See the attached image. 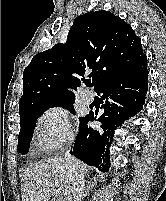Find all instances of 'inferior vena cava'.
Here are the masks:
<instances>
[{
  "instance_id": "obj_1",
  "label": "inferior vena cava",
  "mask_w": 166,
  "mask_h": 201,
  "mask_svg": "<svg viewBox=\"0 0 166 201\" xmlns=\"http://www.w3.org/2000/svg\"><path fill=\"white\" fill-rule=\"evenodd\" d=\"M73 143V139H71L68 143V147L66 148V152L64 154V158L68 163V169L70 176L72 178V198L71 201H82L85 190V180L84 174L81 170L80 164L77 160L70 154L71 146Z\"/></svg>"
}]
</instances>
